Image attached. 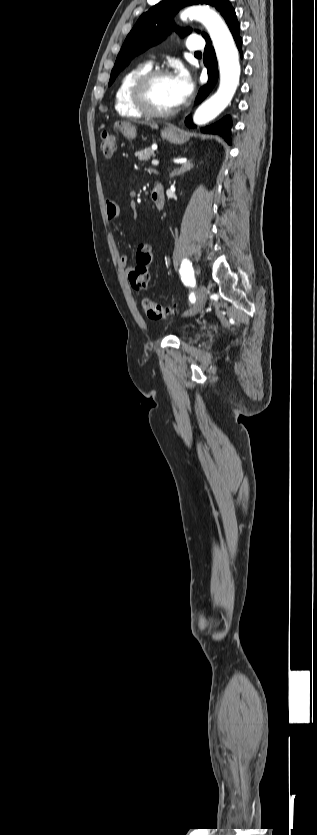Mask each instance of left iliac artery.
I'll list each match as a JSON object with an SVG mask.
<instances>
[{
	"instance_id": "1",
	"label": "left iliac artery",
	"mask_w": 317,
	"mask_h": 835,
	"mask_svg": "<svg viewBox=\"0 0 317 835\" xmlns=\"http://www.w3.org/2000/svg\"><path fill=\"white\" fill-rule=\"evenodd\" d=\"M179 273L185 285H190L192 287L196 285L192 264L188 259H184L182 261Z\"/></svg>"
}]
</instances>
